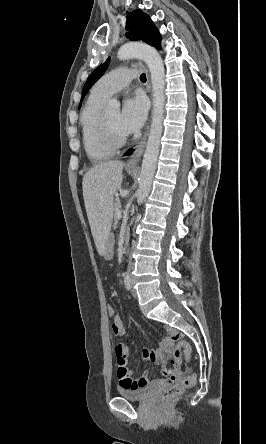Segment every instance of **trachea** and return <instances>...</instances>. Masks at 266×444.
<instances>
[{"instance_id": "3493384b", "label": "trachea", "mask_w": 266, "mask_h": 444, "mask_svg": "<svg viewBox=\"0 0 266 444\" xmlns=\"http://www.w3.org/2000/svg\"><path fill=\"white\" fill-rule=\"evenodd\" d=\"M140 80H141L142 82H145V81H146V75H145V73H142V74L140 75Z\"/></svg>"}]
</instances>
